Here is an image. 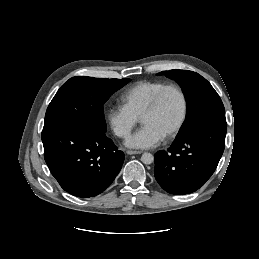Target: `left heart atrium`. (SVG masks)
<instances>
[{
    "instance_id": "39dd6f15",
    "label": "left heart atrium",
    "mask_w": 259,
    "mask_h": 259,
    "mask_svg": "<svg viewBox=\"0 0 259 259\" xmlns=\"http://www.w3.org/2000/svg\"><path fill=\"white\" fill-rule=\"evenodd\" d=\"M163 138L164 136L156 129L144 125L126 141V145L131 148L148 149L156 146Z\"/></svg>"
}]
</instances>
